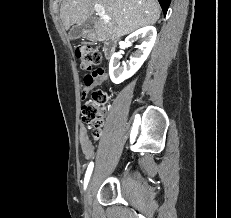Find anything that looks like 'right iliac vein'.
<instances>
[{
    "instance_id": "right-iliac-vein-1",
    "label": "right iliac vein",
    "mask_w": 231,
    "mask_h": 218,
    "mask_svg": "<svg viewBox=\"0 0 231 218\" xmlns=\"http://www.w3.org/2000/svg\"><path fill=\"white\" fill-rule=\"evenodd\" d=\"M92 190H93V177L89 182L84 198V204L87 210H89L91 206Z\"/></svg>"
}]
</instances>
